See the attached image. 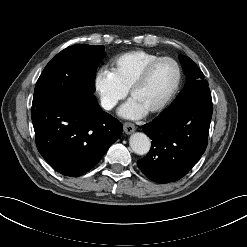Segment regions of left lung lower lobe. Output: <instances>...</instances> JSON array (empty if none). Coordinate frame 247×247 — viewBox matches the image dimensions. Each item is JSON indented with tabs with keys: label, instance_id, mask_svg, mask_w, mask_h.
Instances as JSON below:
<instances>
[{
	"label": "left lung lower lobe",
	"instance_id": "obj_1",
	"mask_svg": "<svg viewBox=\"0 0 247 247\" xmlns=\"http://www.w3.org/2000/svg\"><path fill=\"white\" fill-rule=\"evenodd\" d=\"M212 110L210 90L203 88L143 125L152 142L149 153L137 162L139 169L157 183L184 177L206 150Z\"/></svg>",
	"mask_w": 247,
	"mask_h": 247
}]
</instances>
